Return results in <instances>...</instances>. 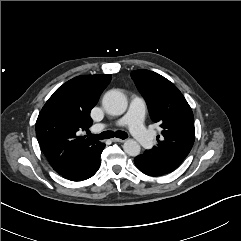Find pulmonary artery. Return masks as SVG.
Masks as SVG:
<instances>
[{
	"mask_svg": "<svg viewBox=\"0 0 241 241\" xmlns=\"http://www.w3.org/2000/svg\"><path fill=\"white\" fill-rule=\"evenodd\" d=\"M145 113V103L142 98L134 97L130 103L127 115L109 124H102L100 129L106 126L121 127L127 125L132 135L145 148H150L154 144L152 134L143 125Z\"/></svg>",
	"mask_w": 241,
	"mask_h": 241,
	"instance_id": "e3ab8cb5",
	"label": "pulmonary artery"
}]
</instances>
